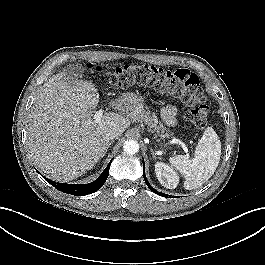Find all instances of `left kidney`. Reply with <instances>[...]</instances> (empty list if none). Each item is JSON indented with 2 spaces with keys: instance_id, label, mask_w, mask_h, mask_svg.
Returning a JSON list of instances; mask_svg holds the SVG:
<instances>
[{
  "instance_id": "left-kidney-1",
  "label": "left kidney",
  "mask_w": 265,
  "mask_h": 265,
  "mask_svg": "<svg viewBox=\"0 0 265 265\" xmlns=\"http://www.w3.org/2000/svg\"><path fill=\"white\" fill-rule=\"evenodd\" d=\"M155 172L162 186L168 189L176 188L179 182V177L167 164L157 162L155 164Z\"/></svg>"
}]
</instances>
